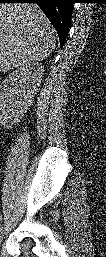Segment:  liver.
<instances>
[{"mask_svg": "<svg viewBox=\"0 0 106 257\" xmlns=\"http://www.w3.org/2000/svg\"><path fill=\"white\" fill-rule=\"evenodd\" d=\"M55 31L34 3L0 6V71L41 61L55 47Z\"/></svg>", "mask_w": 106, "mask_h": 257, "instance_id": "6515ba94", "label": "liver"}]
</instances>
